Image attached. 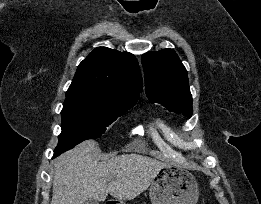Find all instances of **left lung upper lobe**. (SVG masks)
Instances as JSON below:
<instances>
[{"label":"left lung upper lobe","mask_w":261,"mask_h":204,"mask_svg":"<svg viewBox=\"0 0 261 204\" xmlns=\"http://www.w3.org/2000/svg\"><path fill=\"white\" fill-rule=\"evenodd\" d=\"M148 99L171 112L192 115V96L187 71L176 52L163 49L142 55Z\"/></svg>","instance_id":"1"}]
</instances>
